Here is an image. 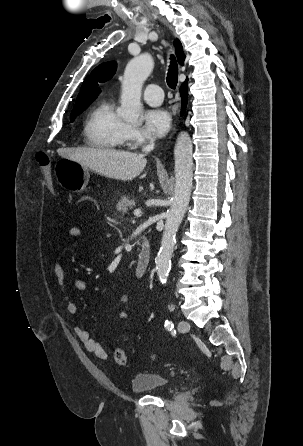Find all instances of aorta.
I'll return each mask as SVG.
<instances>
[{
  "label": "aorta",
  "mask_w": 303,
  "mask_h": 446,
  "mask_svg": "<svg viewBox=\"0 0 303 446\" xmlns=\"http://www.w3.org/2000/svg\"><path fill=\"white\" fill-rule=\"evenodd\" d=\"M152 57L145 53L132 59L126 66L122 80L121 107L118 115L128 122H136L142 111L141 92L145 80L153 70ZM193 146L190 135L183 131L176 140L175 189L167 213L161 247L155 259L157 275L165 283L171 267L176 244V232L187 210L192 190Z\"/></svg>",
  "instance_id": "obj_1"
}]
</instances>
